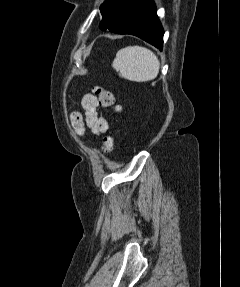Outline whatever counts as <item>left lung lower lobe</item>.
Instances as JSON below:
<instances>
[{
    "mask_svg": "<svg viewBox=\"0 0 240 287\" xmlns=\"http://www.w3.org/2000/svg\"><path fill=\"white\" fill-rule=\"evenodd\" d=\"M99 28L135 35L162 50L163 29L153 0H108Z\"/></svg>",
    "mask_w": 240,
    "mask_h": 287,
    "instance_id": "0a47b994",
    "label": "left lung lower lobe"
}]
</instances>
